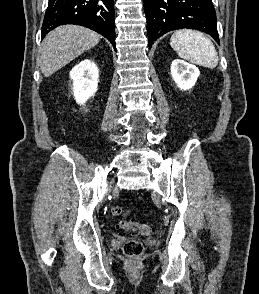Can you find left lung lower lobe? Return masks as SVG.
<instances>
[{
	"label": "left lung lower lobe",
	"instance_id": "0a47b994",
	"mask_svg": "<svg viewBox=\"0 0 259 294\" xmlns=\"http://www.w3.org/2000/svg\"><path fill=\"white\" fill-rule=\"evenodd\" d=\"M149 48L163 34L176 29H196L219 43L212 0H144Z\"/></svg>",
	"mask_w": 259,
	"mask_h": 294
}]
</instances>
